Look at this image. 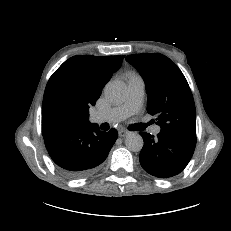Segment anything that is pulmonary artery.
<instances>
[{
    "instance_id": "1",
    "label": "pulmonary artery",
    "mask_w": 231,
    "mask_h": 231,
    "mask_svg": "<svg viewBox=\"0 0 231 231\" xmlns=\"http://www.w3.org/2000/svg\"><path fill=\"white\" fill-rule=\"evenodd\" d=\"M145 94V83L142 78L130 79L128 81V96L124 104L108 110L93 112L90 119L93 123H114L127 118L140 111ZM161 130L159 125L151 128L153 134L157 135Z\"/></svg>"
}]
</instances>
